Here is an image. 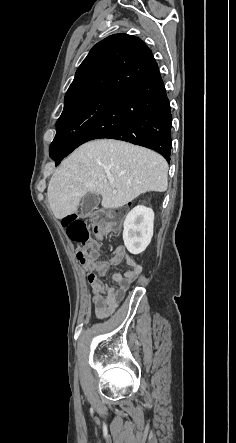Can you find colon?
<instances>
[{
	"instance_id": "colon-1",
	"label": "colon",
	"mask_w": 236,
	"mask_h": 443,
	"mask_svg": "<svg viewBox=\"0 0 236 443\" xmlns=\"http://www.w3.org/2000/svg\"><path fill=\"white\" fill-rule=\"evenodd\" d=\"M122 221L123 215L119 211L109 214L106 219L98 221L93 227L76 215H67L62 219L69 239L79 245L76 256L82 262L93 261L99 255V247L88 244L92 229L99 238L105 239L120 228Z\"/></svg>"
}]
</instances>
